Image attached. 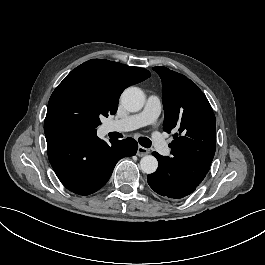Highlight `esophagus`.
<instances>
[{"label": "esophagus", "mask_w": 265, "mask_h": 265, "mask_svg": "<svg viewBox=\"0 0 265 265\" xmlns=\"http://www.w3.org/2000/svg\"><path fill=\"white\" fill-rule=\"evenodd\" d=\"M149 153V149L147 148H144L143 146H138V149H137V156L139 157H142V156H145Z\"/></svg>", "instance_id": "1"}]
</instances>
